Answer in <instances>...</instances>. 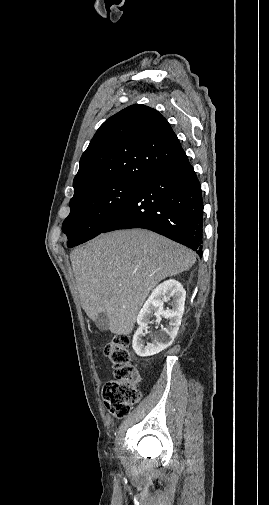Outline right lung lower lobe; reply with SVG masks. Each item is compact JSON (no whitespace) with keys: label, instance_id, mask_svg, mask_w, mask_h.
I'll return each instance as SVG.
<instances>
[{"label":"right lung lower lobe","instance_id":"obj_1","mask_svg":"<svg viewBox=\"0 0 269 505\" xmlns=\"http://www.w3.org/2000/svg\"><path fill=\"white\" fill-rule=\"evenodd\" d=\"M144 228L202 255L203 198L186 154L149 175L102 233Z\"/></svg>","mask_w":269,"mask_h":505}]
</instances>
